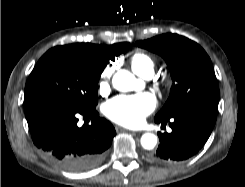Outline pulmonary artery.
Returning a JSON list of instances; mask_svg holds the SVG:
<instances>
[{"instance_id": "e3ab8cb5", "label": "pulmonary artery", "mask_w": 245, "mask_h": 187, "mask_svg": "<svg viewBox=\"0 0 245 187\" xmlns=\"http://www.w3.org/2000/svg\"><path fill=\"white\" fill-rule=\"evenodd\" d=\"M152 76V72H149L146 76H144V77H146V78H149V77H151Z\"/></svg>"}]
</instances>
